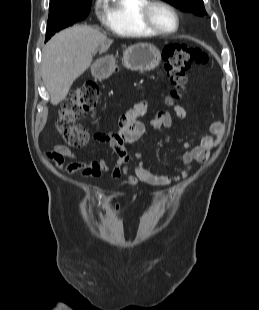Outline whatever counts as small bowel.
Returning a JSON list of instances; mask_svg holds the SVG:
<instances>
[{
    "label": "small bowel",
    "instance_id": "c3829d8e",
    "mask_svg": "<svg viewBox=\"0 0 259 310\" xmlns=\"http://www.w3.org/2000/svg\"><path fill=\"white\" fill-rule=\"evenodd\" d=\"M146 106V101L138 102L132 109L121 115L116 129L96 132L91 137L94 142L109 145L117 154L111 176L114 180H120L119 187L135 186L139 182L157 187L184 180L192 170L193 162H206L211 152L221 142L224 132L223 125L220 122H213L209 127L211 135L203 136L195 146H191L188 142L184 143V148L187 150L181 158L182 170L180 173L176 175L151 173L143 165L140 154H130L126 149L128 143L136 141L145 132V126L138 120V117L145 112ZM173 111L180 119H184L187 115L186 110L180 105H174ZM150 125L156 130L170 129L172 127L171 116L166 111H160L151 120ZM44 155L48 160L54 162L56 168L64 174L71 176L79 173L82 180L98 178L109 171L108 161L105 158L79 159L74 151L63 144H57L52 150L46 151ZM65 160H70L71 163L65 166ZM133 162L136 163L131 170ZM103 199L114 202L116 211L119 210L120 206L116 203L114 195H108Z\"/></svg>",
    "mask_w": 259,
    "mask_h": 310
}]
</instances>
